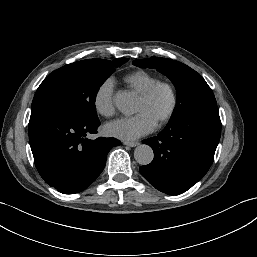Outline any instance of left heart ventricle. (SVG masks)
<instances>
[{
	"instance_id": "b2bd125f",
	"label": "left heart ventricle",
	"mask_w": 257,
	"mask_h": 257,
	"mask_svg": "<svg viewBox=\"0 0 257 257\" xmlns=\"http://www.w3.org/2000/svg\"><path fill=\"white\" fill-rule=\"evenodd\" d=\"M169 105V94L166 90L161 89L149 101H143L138 98L135 113L144 112L157 123L167 112Z\"/></svg>"
}]
</instances>
